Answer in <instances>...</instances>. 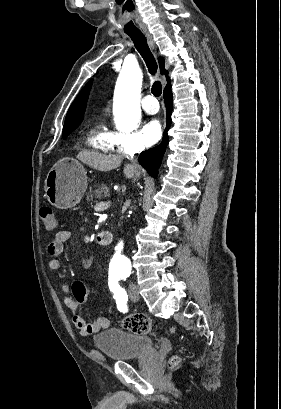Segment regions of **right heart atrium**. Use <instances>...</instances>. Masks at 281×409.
I'll list each match as a JSON object with an SVG mask.
<instances>
[{
  "label": "right heart atrium",
  "instance_id": "obj_1",
  "mask_svg": "<svg viewBox=\"0 0 281 409\" xmlns=\"http://www.w3.org/2000/svg\"><path fill=\"white\" fill-rule=\"evenodd\" d=\"M125 118V131L113 133L114 143L128 152H137L145 147L137 132L140 115H122Z\"/></svg>",
  "mask_w": 281,
  "mask_h": 409
}]
</instances>
